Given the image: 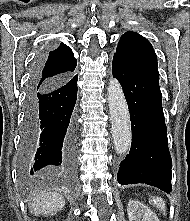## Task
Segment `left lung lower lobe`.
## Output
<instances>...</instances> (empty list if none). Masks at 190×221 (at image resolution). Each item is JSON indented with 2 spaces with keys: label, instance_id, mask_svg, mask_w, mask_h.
<instances>
[{
  "label": "left lung lower lobe",
  "instance_id": "1",
  "mask_svg": "<svg viewBox=\"0 0 190 221\" xmlns=\"http://www.w3.org/2000/svg\"><path fill=\"white\" fill-rule=\"evenodd\" d=\"M112 68L126 97L132 128L131 149L120 163L118 182L145 183L170 193L172 160L158 70L117 56L113 58Z\"/></svg>",
  "mask_w": 190,
  "mask_h": 221
}]
</instances>
